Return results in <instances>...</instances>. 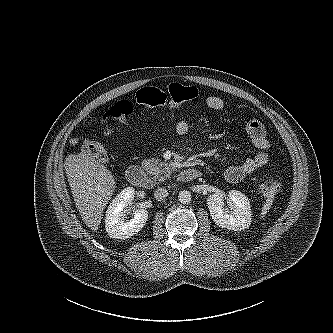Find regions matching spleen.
<instances>
[{"label": "spleen", "mask_w": 333, "mask_h": 333, "mask_svg": "<svg viewBox=\"0 0 333 333\" xmlns=\"http://www.w3.org/2000/svg\"><path fill=\"white\" fill-rule=\"evenodd\" d=\"M274 194H275V190L273 188L269 189L266 193V202L262 207V217L266 215V213L269 211V209L271 208V205L273 203V199H274Z\"/></svg>", "instance_id": "1"}]
</instances>
